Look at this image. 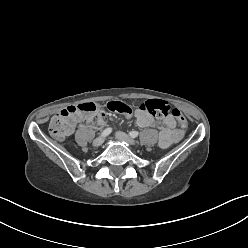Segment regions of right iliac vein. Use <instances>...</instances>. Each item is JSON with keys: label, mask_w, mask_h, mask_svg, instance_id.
Listing matches in <instances>:
<instances>
[{"label": "right iliac vein", "mask_w": 248, "mask_h": 248, "mask_svg": "<svg viewBox=\"0 0 248 248\" xmlns=\"http://www.w3.org/2000/svg\"><path fill=\"white\" fill-rule=\"evenodd\" d=\"M104 138L103 137H98L93 141V146L99 147L103 144Z\"/></svg>", "instance_id": "obj_1"}]
</instances>
